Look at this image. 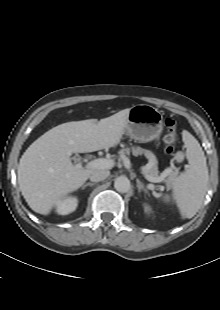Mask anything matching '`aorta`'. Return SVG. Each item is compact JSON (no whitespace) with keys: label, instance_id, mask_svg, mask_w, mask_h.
Wrapping results in <instances>:
<instances>
[{"label":"aorta","instance_id":"aorta-1","mask_svg":"<svg viewBox=\"0 0 220 310\" xmlns=\"http://www.w3.org/2000/svg\"><path fill=\"white\" fill-rule=\"evenodd\" d=\"M115 189L120 193H126L130 189V181L125 176H119L114 181Z\"/></svg>","mask_w":220,"mask_h":310}]
</instances>
